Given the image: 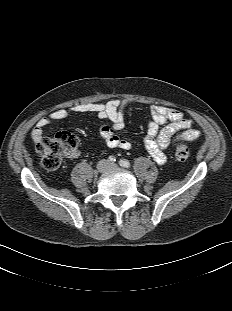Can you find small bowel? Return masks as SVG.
<instances>
[{
  "label": "small bowel",
  "instance_id": "small-bowel-1",
  "mask_svg": "<svg viewBox=\"0 0 232 311\" xmlns=\"http://www.w3.org/2000/svg\"><path fill=\"white\" fill-rule=\"evenodd\" d=\"M131 102L123 99H111L108 102L76 104L67 108H59L41 117L31 131L32 140L37 143L43 139V130L52 121L66 119L70 114H94L101 119H108L111 124L101 127V136L111 148L129 150L132 142L120 137L118 132L125 126V117ZM151 120L143 143L147 152L158 164L166 162L165 150L178 141H194L200 132L193 128L192 120L176 109L154 105L150 109Z\"/></svg>",
  "mask_w": 232,
  "mask_h": 311
}]
</instances>
